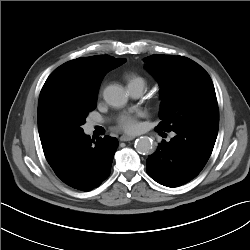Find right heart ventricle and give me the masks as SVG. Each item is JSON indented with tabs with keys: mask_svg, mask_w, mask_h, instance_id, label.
I'll use <instances>...</instances> for the list:
<instances>
[{
	"mask_svg": "<svg viewBox=\"0 0 250 250\" xmlns=\"http://www.w3.org/2000/svg\"><path fill=\"white\" fill-rule=\"evenodd\" d=\"M128 84L140 82L144 84V79L136 73H129L126 75Z\"/></svg>",
	"mask_w": 250,
	"mask_h": 250,
	"instance_id": "e07e8e85",
	"label": "right heart ventricle"
}]
</instances>
